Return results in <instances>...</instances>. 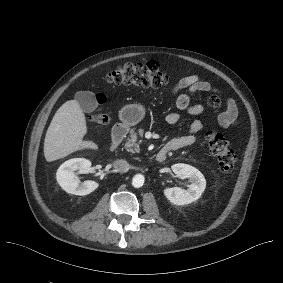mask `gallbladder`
I'll list each match as a JSON object with an SVG mask.
<instances>
[{"label": "gallbladder", "mask_w": 283, "mask_h": 283, "mask_svg": "<svg viewBox=\"0 0 283 283\" xmlns=\"http://www.w3.org/2000/svg\"><path fill=\"white\" fill-rule=\"evenodd\" d=\"M75 98L80 103L82 110L87 113L94 112L98 108L99 103L93 92L80 91L76 93ZM108 142L111 143V139H108Z\"/></svg>", "instance_id": "gallbladder-1"}]
</instances>
